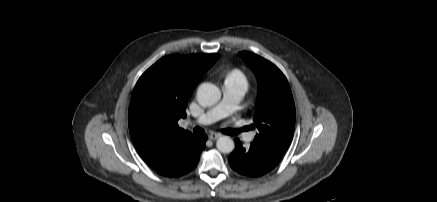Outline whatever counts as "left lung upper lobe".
<instances>
[{"label": "left lung upper lobe", "mask_w": 437, "mask_h": 202, "mask_svg": "<svg viewBox=\"0 0 437 202\" xmlns=\"http://www.w3.org/2000/svg\"><path fill=\"white\" fill-rule=\"evenodd\" d=\"M256 75L259 93L251 128L258 132L251 143L278 164L292 141L296 111L289 83L270 61L251 52H239Z\"/></svg>", "instance_id": "left-lung-upper-lobe-1"}]
</instances>
